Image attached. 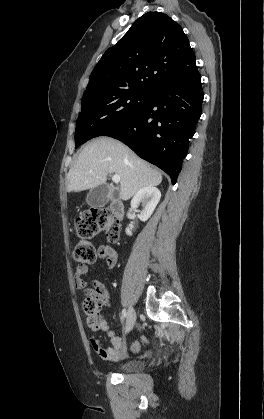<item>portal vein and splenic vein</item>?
I'll list each match as a JSON object with an SVG mask.
<instances>
[{
	"mask_svg": "<svg viewBox=\"0 0 264 419\" xmlns=\"http://www.w3.org/2000/svg\"><path fill=\"white\" fill-rule=\"evenodd\" d=\"M112 181L114 183H119L120 182V176L119 175H113L112 177Z\"/></svg>",
	"mask_w": 264,
	"mask_h": 419,
	"instance_id": "1",
	"label": "portal vein and splenic vein"
}]
</instances>
